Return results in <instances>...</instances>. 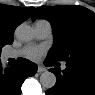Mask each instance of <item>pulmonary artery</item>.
<instances>
[{
	"instance_id": "1",
	"label": "pulmonary artery",
	"mask_w": 95,
	"mask_h": 95,
	"mask_svg": "<svg viewBox=\"0 0 95 95\" xmlns=\"http://www.w3.org/2000/svg\"><path fill=\"white\" fill-rule=\"evenodd\" d=\"M34 33L36 38L45 39L48 38L52 33V26L46 20H39L34 23ZM17 54L14 51H9L4 54V58H14ZM62 68H66V63L62 64Z\"/></svg>"
}]
</instances>
